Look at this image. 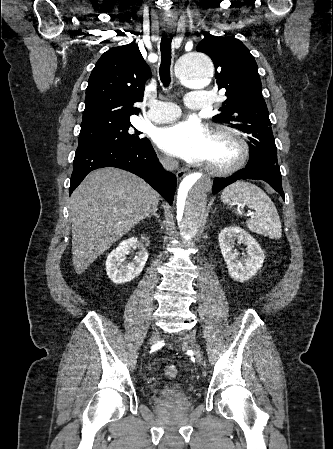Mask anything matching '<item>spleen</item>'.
I'll list each match as a JSON object with an SVG mask.
<instances>
[{"label": "spleen", "instance_id": "3e777b00", "mask_svg": "<svg viewBox=\"0 0 333 449\" xmlns=\"http://www.w3.org/2000/svg\"><path fill=\"white\" fill-rule=\"evenodd\" d=\"M221 200L230 207L236 205L238 214H242L243 206L254 211L255 218L246 221L248 229L252 232L264 234L273 239L281 237V221L277 209L269 196L258 186L238 181L223 190Z\"/></svg>", "mask_w": 333, "mask_h": 449}]
</instances>
